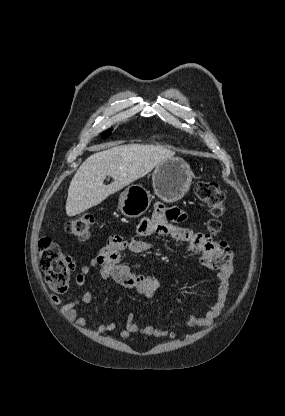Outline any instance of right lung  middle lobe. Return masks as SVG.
<instances>
[{
  "label": "right lung middle lobe",
  "instance_id": "obj_1",
  "mask_svg": "<svg viewBox=\"0 0 285 416\" xmlns=\"http://www.w3.org/2000/svg\"><path fill=\"white\" fill-rule=\"evenodd\" d=\"M113 129L111 128V129H108L107 131H104L102 134H101V136H102V138H107L108 136H110L111 135V131H112Z\"/></svg>",
  "mask_w": 285,
  "mask_h": 416
}]
</instances>
